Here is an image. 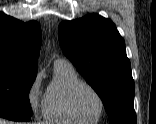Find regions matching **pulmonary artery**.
<instances>
[{
	"mask_svg": "<svg viewBox=\"0 0 156 124\" xmlns=\"http://www.w3.org/2000/svg\"><path fill=\"white\" fill-rule=\"evenodd\" d=\"M59 62H68V61L65 60V59L58 58V59L55 60L54 64L59 63Z\"/></svg>",
	"mask_w": 156,
	"mask_h": 124,
	"instance_id": "obj_1",
	"label": "pulmonary artery"
}]
</instances>
